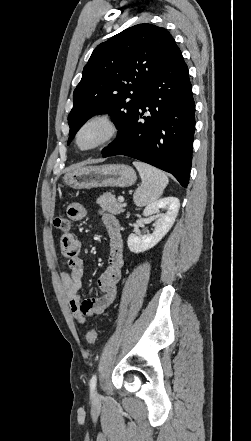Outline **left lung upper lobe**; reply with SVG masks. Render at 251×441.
I'll use <instances>...</instances> for the list:
<instances>
[{"label": "left lung upper lobe", "mask_w": 251, "mask_h": 441, "mask_svg": "<svg viewBox=\"0 0 251 441\" xmlns=\"http://www.w3.org/2000/svg\"><path fill=\"white\" fill-rule=\"evenodd\" d=\"M176 47L166 29L152 24L132 26L98 45L73 93L68 144L94 114L108 113L119 130L125 127Z\"/></svg>", "instance_id": "1"}]
</instances>
